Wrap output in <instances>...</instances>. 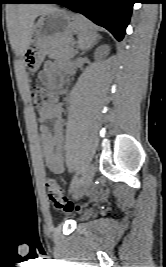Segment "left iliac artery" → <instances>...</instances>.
Returning a JSON list of instances; mask_svg holds the SVG:
<instances>
[{
	"label": "left iliac artery",
	"mask_w": 166,
	"mask_h": 267,
	"mask_svg": "<svg viewBox=\"0 0 166 267\" xmlns=\"http://www.w3.org/2000/svg\"><path fill=\"white\" fill-rule=\"evenodd\" d=\"M77 184H78V177L74 176L69 187V193H71L76 188Z\"/></svg>",
	"instance_id": "1"
}]
</instances>
